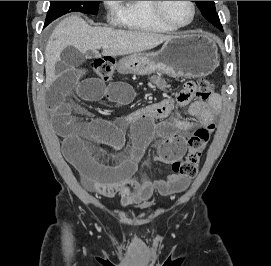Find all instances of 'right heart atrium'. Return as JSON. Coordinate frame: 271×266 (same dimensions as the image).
<instances>
[{
	"label": "right heart atrium",
	"mask_w": 271,
	"mask_h": 266,
	"mask_svg": "<svg viewBox=\"0 0 271 266\" xmlns=\"http://www.w3.org/2000/svg\"><path fill=\"white\" fill-rule=\"evenodd\" d=\"M109 14H113L120 7V1H104Z\"/></svg>",
	"instance_id": "obj_1"
}]
</instances>
